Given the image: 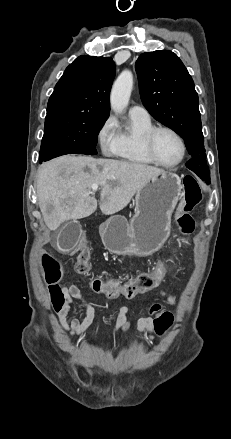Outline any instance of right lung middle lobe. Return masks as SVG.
<instances>
[{"label": "right lung middle lobe", "mask_w": 231, "mask_h": 439, "mask_svg": "<svg viewBox=\"0 0 231 439\" xmlns=\"http://www.w3.org/2000/svg\"><path fill=\"white\" fill-rule=\"evenodd\" d=\"M107 118L84 113L46 117L40 163L70 153L97 154L98 133Z\"/></svg>", "instance_id": "1"}]
</instances>
